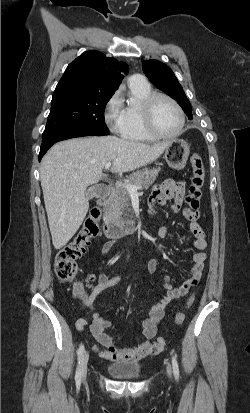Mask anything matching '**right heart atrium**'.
I'll list each match as a JSON object with an SVG mask.
<instances>
[{
  "label": "right heart atrium",
  "instance_id": "right-heart-atrium-1",
  "mask_svg": "<svg viewBox=\"0 0 250 413\" xmlns=\"http://www.w3.org/2000/svg\"><path fill=\"white\" fill-rule=\"evenodd\" d=\"M104 120L110 131L120 133L123 113L121 99L118 93H114L104 107Z\"/></svg>",
  "mask_w": 250,
  "mask_h": 413
}]
</instances>
